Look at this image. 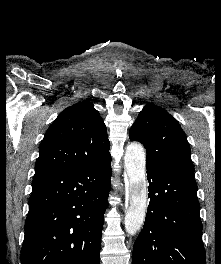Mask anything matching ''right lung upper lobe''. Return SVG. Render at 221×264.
<instances>
[{"label":"right lung upper lobe","mask_w":221,"mask_h":264,"mask_svg":"<svg viewBox=\"0 0 221 264\" xmlns=\"http://www.w3.org/2000/svg\"><path fill=\"white\" fill-rule=\"evenodd\" d=\"M109 146L105 123L93 104L76 103L46 131L34 177L99 164L110 157Z\"/></svg>","instance_id":"obj_1"}]
</instances>
